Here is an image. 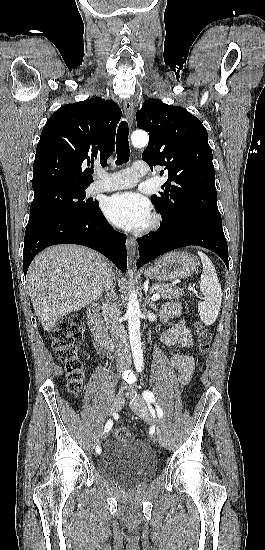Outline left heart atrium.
Returning <instances> with one entry per match:
<instances>
[{
    "label": "left heart atrium",
    "instance_id": "left-heart-atrium-1",
    "mask_svg": "<svg viewBox=\"0 0 265 550\" xmlns=\"http://www.w3.org/2000/svg\"><path fill=\"white\" fill-rule=\"evenodd\" d=\"M107 218L127 230L144 228L150 220V205L146 198L132 191L110 197L105 204Z\"/></svg>",
    "mask_w": 265,
    "mask_h": 550
}]
</instances>
